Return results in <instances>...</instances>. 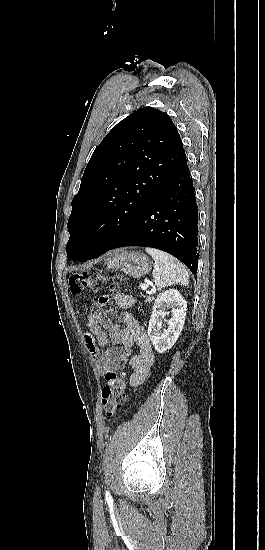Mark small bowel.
<instances>
[{
  "mask_svg": "<svg viewBox=\"0 0 265 550\" xmlns=\"http://www.w3.org/2000/svg\"><path fill=\"white\" fill-rule=\"evenodd\" d=\"M116 299L123 308L133 304V299L124 294H119ZM87 327V349L97 375L105 376L108 370H117L118 364L128 361L133 369L129 386H138L146 379L155 355L146 331L134 317L126 314L121 327L101 310L95 309L87 315ZM134 345L139 348L136 354L131 353ZM99 347L104 348L102 353Z\"/></svg>",
  "mask_w": 265,
  "mask_h": 550,
  "instance_id": "small-bowel-1",
  "label": "small bowel"
}]
</instances>
